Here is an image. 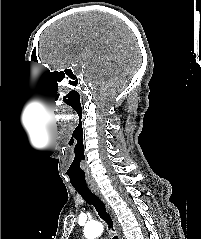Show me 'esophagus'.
Segmentation results:
<instances>
[{
    "label": "esophagus",
    "instance_id": "1",
    "mask_svg": "<svg viewBox=\"0 0 201 239\" xmlns=\"http://www.w3.org/2000/svg\"><path fill=\"white\" fill-rule=\"evenodd\" d=\"M90 189H91V191H93V192L105 203V205H106V207H107V210H108L109 213L113 216V212L111 211L109 205L107 204V202H106L104 196L102 195L100 189L98 188V186H96V185H95V186H94V185H93V186H90ZM114 225H115L116 232H117V234H118V236H119V239H123L120 226H119V224L117 223V221H115V219H114Z\"/></svg>",
    "mask_w": 201,
    "mask_h": 239
}]
</instances>
